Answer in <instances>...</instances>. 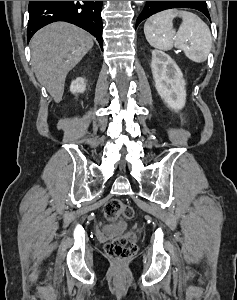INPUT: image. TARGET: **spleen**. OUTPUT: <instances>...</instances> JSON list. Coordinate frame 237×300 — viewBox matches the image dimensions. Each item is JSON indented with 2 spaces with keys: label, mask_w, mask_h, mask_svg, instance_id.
I'll list each match as a JSON object with an SVG mask.
<instances>
[{
  "label": "spleen",
  "mask_w": 237,
  "mask_h": 300,
  "mask_svg": "<svg viewBox=\"0 0 237 300\" xmlns=\"http://www.w3.org/2000/svg\"><path fill=\"white\" fill-rule=\"evenodd\" d=\"M175 17L182 19L178 31L173 29ZM144 35L151 47L161 51L176 47L194 63L206 61L212 47L210 29L206 23L194 13L177 9H168L149 17L144 25Z\"/></svg>",
  "instance_id": "spleen-1"
}]
</instances>
